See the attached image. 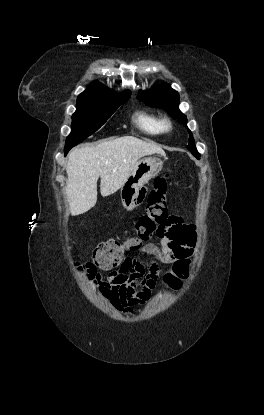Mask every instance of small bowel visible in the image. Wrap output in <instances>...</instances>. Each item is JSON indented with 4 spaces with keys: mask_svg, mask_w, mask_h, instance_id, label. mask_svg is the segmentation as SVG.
<instances>
[{
    "mask_svg": "<svg viewBox=\"0 0 264 415\" xmlns=\"http://www.w3.org/2000/svg\"><path fill=\"white\" fill-rule=\"evenodd\" d=\"M196 237L192 225L185 224L182 217L174 216L171 233L163 236L159 245L148 244L144 247V251L150 256L147 274H142L144 269L142 262L135 258H127L118 270L111 271L106 279L89 271H86V278L114 306L128 314L135 308L142 306L150 298L156 281L167 274L166 266L187 260L192 253ZM161 264L165 266L162 267ZM122 288H125L129 293L125 296L124 301L115 302L114 296Z\"/></svg>",
    "mask_w": 264,
    "mask_h": 415,
    "instance_id": "small-bowel-1",
    "label": "small bowel"
}]
</instances>
